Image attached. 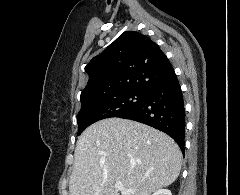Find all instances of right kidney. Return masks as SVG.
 <instances>
[{
	"label": "right kidney",
	"instance_id": "right-kidney-1",
	"mask_svg": "<svg viewBox=\"0 0 240 195\" xmlns=\"http://www.w3.org/2000/svg\"><path fill=\"white\" fill-rule=\"evenodd\" d=\"M152 195H172L170 189H157Z\"/></svg>",
	"mask_w": 240,
	"mask_h": 195
}]
</instances>
